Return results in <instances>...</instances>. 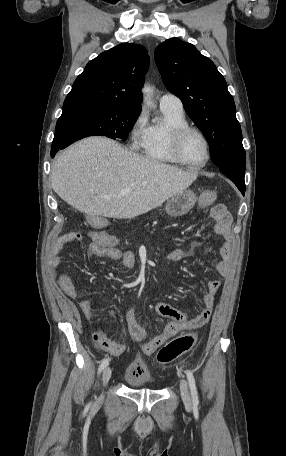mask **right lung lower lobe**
<instances>
[{
	"label": "right lung lower lobe",
	"instance_id": "98d812e1",
	"mask_svg": "<svg viewBox=\"0 0 286 456\" xmlns=\"http://www.w3.org/2000/svg\"><path fill=\"white\" fill-rule=\"evenodd\" d=\"M59 149H61L60 146H57V145L52 144V148H51V157H54L55 154H56V152H57Z\"/></svg>",
	"mask_w": 286,
	"mask_h": 456
}]
</instances>
